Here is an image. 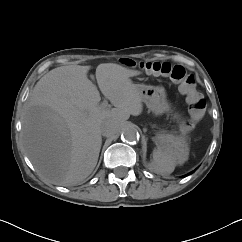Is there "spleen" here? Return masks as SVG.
<instances>
[{"label":"spleen","mask_w":242,"mask_h":242,"mask_svg":"<svg viewBox=\"0 0 242 242\" xmlns=\"http://www.w3.org/2000/svg\"><path fill=\"white\" fill-rule=\"evenodd\" d=\"M184 161L176 153L157 149L153 151L151 166L159 174H170L174 171L177 163H183Z\"/></svg>","instance_id":"obj_1"}]
</instances>
